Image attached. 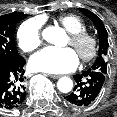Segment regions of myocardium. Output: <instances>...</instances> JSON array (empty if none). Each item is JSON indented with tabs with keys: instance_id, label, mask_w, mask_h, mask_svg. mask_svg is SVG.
I'll use <instances>...</instances> for the list:
<instances>
[{
	"instance_id": "myocardium-1",
	"label": "myocardium",
	"mask_w": 117,
	"mask_h": 117,
	"mask_svg": "<svg viewBox=\"0 0 117 117\" xmlns=\"http://www.w3.org/2000/svg\"><path fill=\"white\" fill-rule=\"evenodd\" d=\"M70 44L78 51L82 62L92 61L99 50V41L96 36L88 32L70 33Z\"/></svg>"
}]
</instances>
